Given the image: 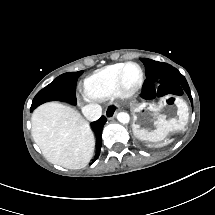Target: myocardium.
<instances>
[{
	"label": "myocardium",
	"instance_id": "myocardium-1",
	"mask_svg": "<svg viewBox=\"0 0 215 215\" xmlns=\"http://www.w3.org/2000/svg\"><path fill=\"white\" fill-rule=\"evenodd\" d=\"M119 69H118V76H117V82L114 85L115 90L114 93H116V98L117 99H124L126 98H130L132 97L138 90L139 88L142 86L143 82H144V73L143 70L141 68V66L133 61H128L125 63H120L119 65ZM127 66H133L134 68H136L138 76L136 81L131 85V87L129 89H126L127 87L125 85L122 84V78H123V73L125 71V67ZM118 84V85H117ZM122 84V85H121Z\"/></svg>",
	"mask_w": 215,
	"mask_h": 215
}]
</instances>
